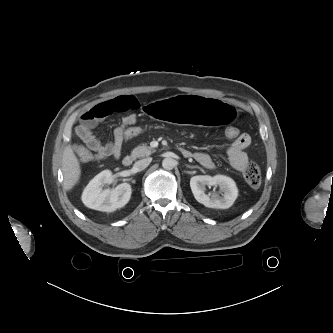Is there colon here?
Here are the masks:
<instances>
[{
    "label": "colon",
    "instance_id": "5ec220e1",
    "mask_svg": "<svg viewBox=\"0 0 333 333\" xmlns=\"http://www.w3.org/2000/svg\"><path fill=\"white\" fill-rule=\"evenodd\" d=\"M147 132L148 129L146 127L141 126L137 123H133L125 126L121 130V136L123 138V141L135 140L144 136ZM225 135L228 139L235 140L241 135V133L238 128L233 126H228L225 129ZM76 154L79 160L82 162H89L95 159L94 154L89 151L76 150ZM243 176L246 183L251 188H258L260 186L262 177H261L260 167L257 163L249 162L243 171Z\"/></svg>",
    "mask_w": 333,
    "mask_h": 333
}]
</instances>
